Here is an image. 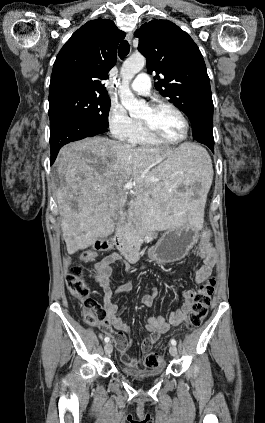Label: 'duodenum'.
Here are the masks:
<instances>
[{
  "label": "duodenum",
  "mask_w": 265,
  "mask_h": 423,
  "mask_svg": "<svg viewBox=\"0 0 265 423\" xmlns=\"http://www.w3.org/2000/svg\"><path fill=\"white\" fill-rule=\"evenodd\" d=\"M126 220L123 219L118 224L117 233L113 238L116 247L121 251L129 262H136L140 258L139 245L125 236Z\"/></svg>",
  "instance_id": "obj_1"
}]
</instances>
